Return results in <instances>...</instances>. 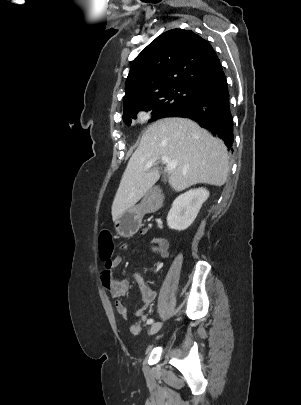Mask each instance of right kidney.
<instances>
[{
    "mask_svg": "<svg viewBox=\"0 0 301 405\" xmlns=\"http://www.w3.org/2000/svg\"><path fill=\"white\" fill-rule=\"evenodd\" d=\"M209 191L205 188L191 189L179 195L172 203L167 215V225L170 229L183 231L197 217L202 204L208 199Z\"/></svg>",
    "mask_w": 301,
    "mask_h": 405,
    "instance_id": "1",
    "label": "right kidney"
}]
</instances>
